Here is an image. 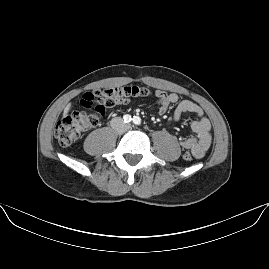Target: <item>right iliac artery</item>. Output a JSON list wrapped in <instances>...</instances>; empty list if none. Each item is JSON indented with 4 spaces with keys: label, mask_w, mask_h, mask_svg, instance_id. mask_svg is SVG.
I'll return each instance as SVG.
<instances>
[{
    "label": "right iliac artery",
    "mask_w": 269,
    "mask_h": 269,
    "mask_svg": "<svg viewBox=\"0 0 269 269\" xmlns=\"http://www.w3.org/2000/svg\"><path fill=\"white\" fill-rule=\"evenodd\" d=\"M123 119L125 123H129L132 120L131 116L128 114L124 115Z\"/></svg>",
    "instance_id": "1"
}]
</instances>
